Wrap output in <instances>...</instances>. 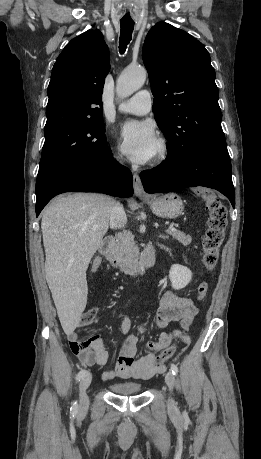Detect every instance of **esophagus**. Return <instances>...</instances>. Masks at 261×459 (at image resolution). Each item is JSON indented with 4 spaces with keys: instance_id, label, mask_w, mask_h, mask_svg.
<instances>
[{
    "instance_id": "34e87169",
    "label": "esophagus",
    "mask_w": 261,
    "mask_h": 459,
    "mask_svg": "<svg viewBox=\"0 0 261 459\" xmlns=\"http://www.w3.org/2000/svg\"><path fill=\"white\" fill-rule=\"evenodd\" d=\"M133 188L137 197H147L140 176L137 173H133Z\"/></svg>"
}]
</instances>
